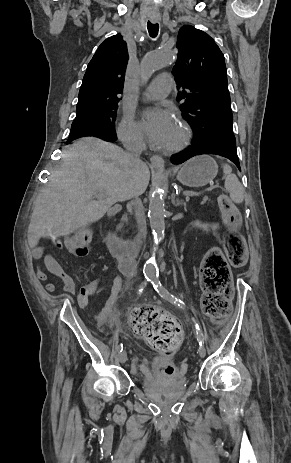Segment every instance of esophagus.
<instances>
[{
  "label": "esophagus",
  "mask_w": 291,
  "mask_h": 463,
  "mask_svg": "<svg viewBox=\"0 0 291 463\" xmlns=\"http://www.w3.org/2000/svg\"><path fill=\"white\" fill-rule=\"evenodd\" d=\"M154 21H156L154 19ZM150 163L152 166L154 167H157V168H162L164 167V160L161 156L159 155H153L151 158H150Z\"/></svg>",
  "instance_id": "esophagus-1"
}]
</instances>
